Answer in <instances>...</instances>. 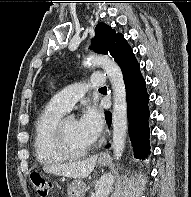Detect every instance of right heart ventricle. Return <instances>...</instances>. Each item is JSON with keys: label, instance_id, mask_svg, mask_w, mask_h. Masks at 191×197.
Returning <instances> with one entry per match:
<instances>
[{"label": "right heart ventricle", "instance_id": "1", "mask_svg": "<svg viewBox=\"0 0 191 197\" xmlns=\"http://www.w3.org/2000/svg\"><path fill=\"white\" fill-rule=\"evenodd\" d=\"M66 111L50 101L39 114L34 127L33 150L42 165H55L66 160L54 142V131Z\"/></svg>", "mask_w": 191, "mask_h": 197}]
</instances>
